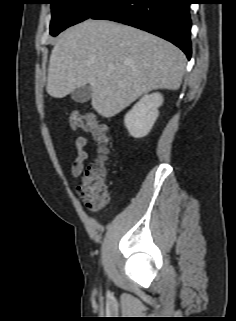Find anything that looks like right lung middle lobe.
I'll list each match as a JSON object with an SVG mask.
<instances>
[{"label": "right lung middle lobe", "instance_id": "1", "mask_svg": "<svg viewBox=\"0 0 236 321\" xmlns=\"http://www.w3.org/2000/svg\"><path fill=\"white\" fill-rule=\"evenodd\" d=\"M110 0H50L52 20L50 34L82 22L101 10Z\"/></svg>", "mask_w": 236, "mask_h": 321}]
</instances>
